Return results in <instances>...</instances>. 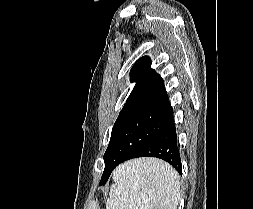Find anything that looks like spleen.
<instances>
[{
  "instance_id": "3e777b00",
  "label": "spleen",
  "mask_w": 253,
  "mask_h": 209,
  "mask_svg": "<svg viewBox=\"0 0 253 209\" xmlns=\"http://www.w3.org/2000/svg\"><path fill=\"white\" fill-rule=\"evenodd\" d=\"M106 209H177L180 183L176 170L156 158L133 159L118 166Z\"/></svg>"
}]
</instances>
